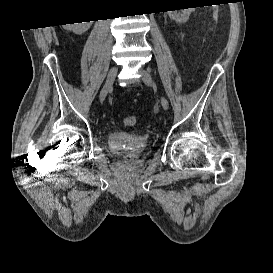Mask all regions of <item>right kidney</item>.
I'll list each match as a JSON object with an SVG mask.
<instances>
[{
  "label": "right kidney",
  "mask_w": 273,
  "mask_h": 273,
  "mask_svg": "<svg viewBox=\"0 0 273 273\" xmlns=\"http://www.w3.org/2000/svg\"><path fill=\"white\" fill-rule=\"evenodd\" d=\"M91 23H92V21L82 22V23H75L76 25H78V24L79 25L72 27V30L76 34H82V33H84L85 31H87L90 28V26L92 25Z\"/></svg>",
  "instance_id": "obj_1"
}]
</instances>
